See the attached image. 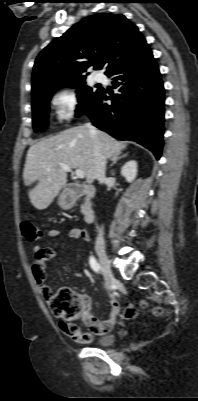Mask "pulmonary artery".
<instances>
[{
  "label": "pulmonary artery",
  "instance_id": "e3ab8cb5",
  "mask_svg": "<svg viewBox=\"0 0 198 401\" xmlns=\"http://www.w3.org/2000/svg\"><path fill=\"white\" fill-rule=\"evenodd\" d=\"M94 80L97 83H101V82L104 81V76L101 73H96L95 76H94Z\"/></svg>",
  "mask_w": 198,
  "mask_h": 401
}]
</instances>
